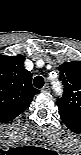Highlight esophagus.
Segmentation results:
<instances>
[{"mask_svg": "<svg viewBox=\"0 0 81 155\" xmlns=\"http://www.w3.org/2000/svg\"><path fill=\"white\" fill-rule=\"evenodd\" d=\"M41 91H42V92L50 91L49 85H45V86L41 89Z\"/></svg>", "mask_w": 81, "mask_h": 155, "instance_id": "obj_1", "label": "esophagus"}]
</instances>
